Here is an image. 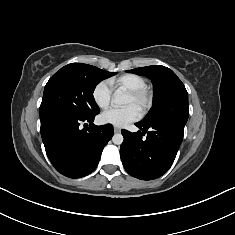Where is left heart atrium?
Instances as JSON below:
<instances>
[{
    "mask_svg": "<svg viewBox=\"0 0 235 235\" xmlns=\"http://www.w3.org/2000/svg\"><path fill=\"white\" fill-rule=\"evenodd\" d=\"M140 116V110L136 106L127 105L125 107H114L104 111L101 115V119L104 123L124 127L131 122L137 121Z\"/></svg>",
    "mask_w": 235,
    "mask_h": 235,
    "instance_id": "obj_1",
    "label": "left heart atrium"
}]
</instances>
